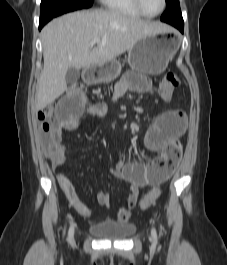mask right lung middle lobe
Masks as SVG:
<instances>
[{
    "label": "right lung middle lobe",
    "mask_w": 227,
    "mask_h": 265,
    "mask_svg": "<svg viewBox=\"0 0 227 265\" xmlns=\"http://www.w3.org/2000/svg\"><path fill=\"white\" fill-rule=\"evenodd\" d=\"M93 0H42L40 5V24L44 25L53 17L70 11L89 8Z\"/></svg>",
    "instance_id": "obj_1"
}]
</instances>
